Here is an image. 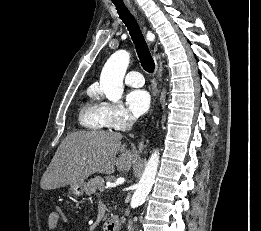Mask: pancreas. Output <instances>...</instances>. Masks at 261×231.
<instances>
[{"label": "pancreas", "mask_w": 261, "mask_h": 231, "mask_svg": "<svg viewBox=\"0 0 261 231\" xmlns=\"http://www.w3.org/2000/svg\"><path fill=\"white\" fill-rule=\"evenodd\" d=\"M100 188H105L104 179L101 176H96L89 180L85 187V193L88 196L96 193V190Z\"/></svg>", "instance_id": "obj_1"}]
</instances>
